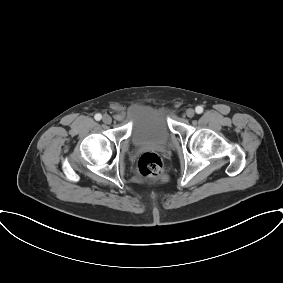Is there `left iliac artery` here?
Returning <instances> with one entry per match:
<instances>
[{
	"label": "left iliac artery",
	"instance_id": "obj_1",
	"mask_svg": "<svg viewBox=\"0 0 283 283\" xmlns=\"http://www.w3.org/2000/svg\"><path fill=\"white\" fill-rule=\"evenodd\" d=\"M195 111H196L197 114H201L203 112V107L202 106H197L195 108Z\"/></svg>",
	"mask_w": 283,
	"mask_h": 283
}]
</instances>
